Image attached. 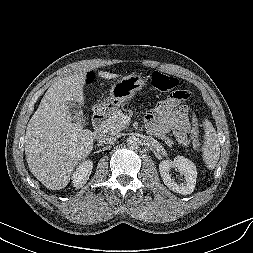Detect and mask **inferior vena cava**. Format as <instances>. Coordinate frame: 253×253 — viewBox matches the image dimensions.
I'll return each mask as SVG.
<instances>
[{"label":"inferior vena cava","instance_id":"inferior-vena-cava-1","mask_svg":"<svg viewBox=\"0 0 253 253\" xmlns=\"http://www.w3.org/2000/svg\"><path fill=\"white\" fill-rule=\"evenodd\" d=\"M117 139V136L115 135H110V136H107V135H103L102 137L99 138V143L100 144H111L113 142H115Z\"/></svg>","mask_w":253,"mask_h":253}]
</instances>
